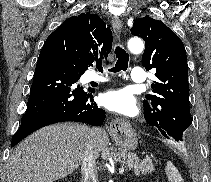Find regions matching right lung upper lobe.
Returning <instances> with one entry per match:
<instances>
[{"label": "right lung upper lobe", "instance_id": "cb5924a9", "mask_svg": "<svg viewBox=\"0 0 211 182\" xmlns=\"http://www.w3.org/2000/svg\"><path fill=\"white\" fill-rule=\"evenodd\" d=\"M62 25L76 38L87 67L92 66L98 53L107 58L112 49V32L98 15L83 13L72 16Z\"/></svg>", "mask_w": 211, "mask_h": 182}]
</instances>
